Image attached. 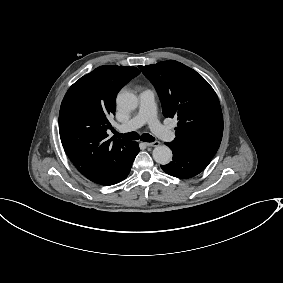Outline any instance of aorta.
I'll use <instances>...</instances> for the list:
<instances>
[{
  "label": "aorta",
  "instance_id": "762f6f07",
  "mask_svg": "<svg viewBox=\"0 0 283 283\" xmlns=\"http://www.w3.org/2000/svg\"><path fill=\"white\" fill-rule=\"evenodd\" d=\"M117 105L124 110H134L138 106L136 95L131 92L123 91L117 96ZM155 162L166 165L172 160V151L166 145L156 146L152 153Z\"/></svg>",
  "mask_w": 283,
  "mask_h": 283
}]
</instances>
